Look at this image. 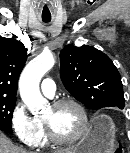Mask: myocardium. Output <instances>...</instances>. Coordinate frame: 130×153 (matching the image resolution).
Returning <instances> with one entry per match:
<instances>
[{"label":"myocardium","instance_id":"f54148a6","mask_svg":"<svg viewBox=\"0 0 130 153\" xmlns=\"http://www.w3.org/2000/svg\"><path fill=\"white\" fill-rule=\"evenodd\" d=\"M64 105H72L74 106L81 117V127L78 131V133L71 138H65V137H60L59 135H57V133L54 131L51 123L49 120L47 119H43V123L46 129V133L48 135V137L51 139V141H53L56 144L59 145H70V144H75L77 142H79L87 133L88 128H89V118H88V114L87 111L85 109V107L76 99L74 98H61L58 99L56 101H54L51 105L52 108H59L61 106Z\"/></svg>","mask_w":130,"mask_h":153}]
</instances>
